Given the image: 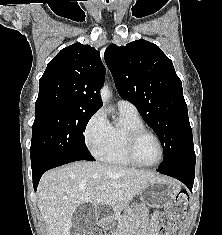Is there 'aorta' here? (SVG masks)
<instances>
[{"label":"aorta","instance_id":"1","mask_svg":"<svg viewBox=\"0 0 222 235\" xmlns=\"http://www.w3.org/2000/svg\"><path fill=\"white\" fill-rule=\"evenodd\" d=\"M100 95L102 102L106 104L111 97V92L107 84H104V86L102 87Z\"/></svg>","mask_w":222,"mask_h":235}]
</instances>
